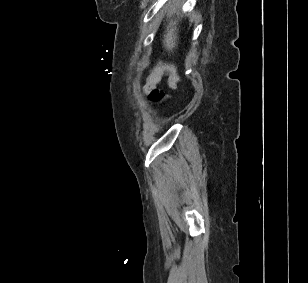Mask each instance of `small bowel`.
Returning <instances> with one entry per match:
<instances>
[{
    "mask_svg": "<svg viewBox=\"0 0 308 283\" xmlns=\"http://www.w3.org/2000/svg\"><path fill=\"white\" fill-rule=\"evenodd\" d=\"M164 71H165V66L163 65H157L156 67H154L146 79V83L143 87V91L149 92L155 89L160 83Z\"/></svg>",
    "mask_w": 308,
    "mask_h": 283,
    "instance_id": "1",
    "label": "small bowel"
}]
</instances>
